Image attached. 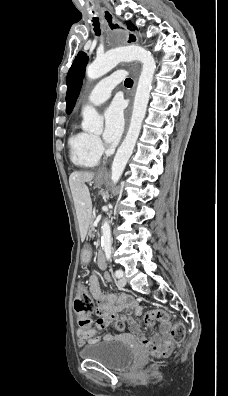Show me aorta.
Wrapping results in <instances>:
<instances>
[{"label": "aorta", "instance_id": "1", "mask_svg": "<svg viewBox=\"0 0 228 396\" xmlns=\"http://www.w3.org/2000/svg\"><path fill=\"white\" fill-rule=\"evenodd\" d=\"M135 60L142 63V71L136 89L129 129L115 154L111 167V180L114 184L119 181L139 137L152 89L156 63L149 51L140 46L132 45L112 49L103 56L96 58L86 68L87 77L94 80L105 75L122 61ZM82 116L83 130L88 132L102 131L103 119L93 107L86 106L82 111ZM101 229V246L106 252L111 249V229L107 220H104Z\"/></svg>", "mask_w": 228, "mask_h": 396}]
</instances>
